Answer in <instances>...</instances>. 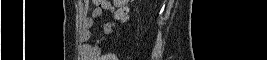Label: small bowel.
I'll return each instance as SVG.
<instances>
[{"label": "small bowel", "instance_id": "c3829d8e", "mask_svg": "<svg viewBox=\"0 0 267 60\" xmlns=\"http://www.w3.org/2000/svg\"><path fill=\"white\" fill-rule=\"evenodd\" d=\"M116 5H113L110 2H102L99 6L94 9L92 16L86 18L83 22L82 31L80 38L83 42H88L91 37L90 28L93 26L94 21L97 17H100L104 11H114ZM104 36L100 39H97L93 44H86L84 49L93 56H97L101 52V44L108 38L111 37L113 32V23L108 22L103 27Z\"/></svg>", "mask_w": 267, "mask_h": 60}]
</instances>
